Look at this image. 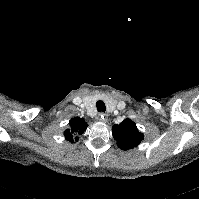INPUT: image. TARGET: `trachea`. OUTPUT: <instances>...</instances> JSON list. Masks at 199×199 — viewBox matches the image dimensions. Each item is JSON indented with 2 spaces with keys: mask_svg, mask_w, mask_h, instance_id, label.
<instances>
[{
  "mask_svg": "<svg viewBox=\"0 0 199 199\" xmlns=\"http://www.w3.org/2000/svg\"><path fill=\"white\" fill-rule=\"evenodd\" d=\"M96 107H97L98 112H105L106 110L105 103L101 100L97 101Z\"/></svg>",
  "mask_w": 199,
  "mask_h": 199,
  "instance_id": "1",
  "label": "trachea"
}]
</instances>
